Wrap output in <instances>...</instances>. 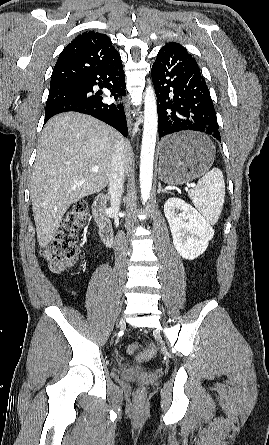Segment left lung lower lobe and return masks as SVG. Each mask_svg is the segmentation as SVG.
<instances>
[{
    "mask_svg": "<svg viewBox=\"0 0 269 445\" xmlns=\"http://www.w3.org/2000/svg\"><path fill=\"white\" fill-rule=\"evenodd\" d=\"M157 96L159 137L184 131H200L220 140L214 105L196 60L182 47L159 51L151 69ZM178 146L164 147L168 154Z\"/></svg>",
    "mask_w": 269,
    "mask_h": 445,
    "instance_id": "obj_1",
    "label": "left lung lower lobe"
}]
</instances>
